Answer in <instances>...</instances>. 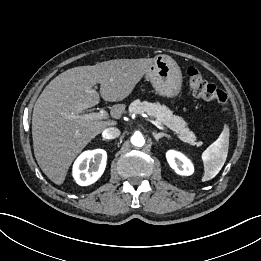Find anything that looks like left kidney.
I'll list each match as a JSON object with an SVG mask.
<instances>
[{"instance_id":"5707ae66","label":"left kidney","mask_w":261,"mask_h":261,"mask_svg":"<svg viewBox=\"0 0 261 261\" xmlns=\"http://www.w3.org/2000/svg\"><path fill=\"white\" fill-rule=\"evenodd\" d=\"M167 161L172 169L179 175L189 176L193 174L194 167L191 161L182 153L169 150L166 153Z\"/></svg>"}]
</instances>
